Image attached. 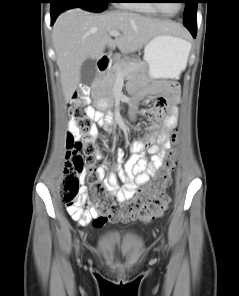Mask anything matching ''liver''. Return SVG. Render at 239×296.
Masks as SVG:
<instances>
[{"label":"liver","instance_id":"6515ba94","mask_svg":"<svg viewBox=\"0 0 239 296\" xmlns=\"http://www.w3.org/2000/svg\"><path fill=\"white\" fill-rule=\"evenodd\" d=\"M113 30L121 32L114 40L109 35ZM182 33V27L173 21L133 12L99 14L81 8L63 12L53 26L52 41L65 100H71L81 81L82 63L87 58L98 59L106 47L131 53L157 35Z\"/></svg>","mask_w":239,"mask_h":296}]
</instances>
